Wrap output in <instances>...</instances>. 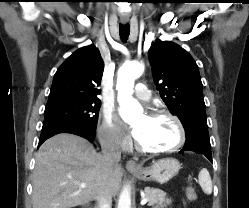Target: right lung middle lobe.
I'll return each mask as SVG.
<instances>
[{
  "label": "right lung middle lobe",
  "mask_w": 249,
  "mask_h": 208,
  "mask_svg": "<svg viewBox=\"0 0 249 208\" xmlns=\"http://www.w3.org/2000/svg\"><path fill=\"white\" fill-rule=\"evenodd\" d=\"M101 102L86 100L45 107L44 120H58L95 130Z\"/></svg>",
  "instance_id": "obj_1"
}]
</instances>
